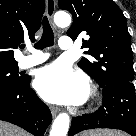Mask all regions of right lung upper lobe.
<instances>
[{
	"mask_svg": "<svg viewBox=\"0 0 136 136\" xmlns=\"http://www.w3.org/2000/svg\"><path fill=\"white\" fill-rule=\"evenodd\" d=\"M44 9V0H0V64L17 63L13 50L34 40Z\"/></svg>",
	"mask_w": 136,
	"mask_h": 136,
	"instance_id": "1",
	"label": "right lung upper lobe"
}]
</instances>
